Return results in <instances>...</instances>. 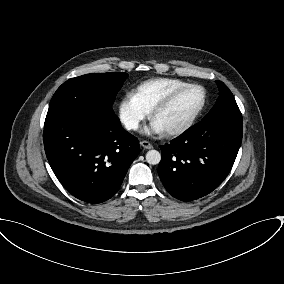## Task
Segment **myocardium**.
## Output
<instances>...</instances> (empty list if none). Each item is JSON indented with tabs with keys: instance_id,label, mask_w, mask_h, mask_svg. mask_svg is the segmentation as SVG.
Segmentation results:
<instances>
[{
	"instance_id": "f54148a6",
	"label": "myocardium",
	"mask_w": 284,
	"mask_h": 284,
	"mask_svg": "<svg viewBox=\"0 0 284 284\" xmlns=\"http://www.w3.org/2000/svg\"><path fill=\"white\" fill-rule=\"evenodd\" d=\"M190 88H199L202 90L203 98L200 106L196 109V111L182 124L172 127L170 129L164 130L163 134L166 136H177L185 133L189 130L196 120L199 118L201 113L203 112L206 103H207V91L204 86L197 84V83H187L174 91H172L168 96H166L161 102H159L151 111V120L154 121L155 117L161 113L162 111L166 110L170 107L173 102L177 99V97L182 94L184 91Z\"/></svg>"
}]
</instances>
